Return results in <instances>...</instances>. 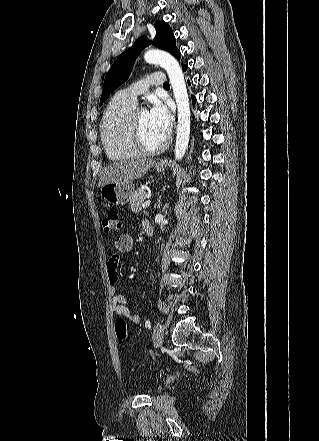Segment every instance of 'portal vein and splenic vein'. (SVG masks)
Masks as SVG:
<instances>
[{"instance_id": "obj_1", "label": "portal vein and splenic vein", "mask_w": 319, "mask_h": 441, "mask_svg": "<svg viewBox=\"0 0 319 441\" xmlns=\"http://www.w3.org/2000/svg\"><path fill=\"white\" fill-rule=\"evenodd\" d=\"M150 203H151V201H150V200H147L146 202H144V204L142 205V207H143V208H147V207H149Z\"/></svg>"}]
</instances>
